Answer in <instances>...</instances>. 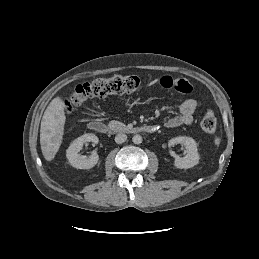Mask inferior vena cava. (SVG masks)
I'll use <instances>...</instances> for the list:
<instances>
[{
  "label": "inferior vena cava",
  "mask_w": 259,
  "mask_h": 259,
  "mask_svg": "<svg viewBox=\"0 0 259 259\" xmlns=\"http://www.w3.org/2000/svg\"><path fill=\"white\" fill-rule=\"evenodd\" d=\"M126 140H127V135H125L124 133H118V134L115 136V142H116L117 144H122V143H124Z\"/></svg>",
  "instance_id": "inferior-vena-cava-1"
}]
</instances>
